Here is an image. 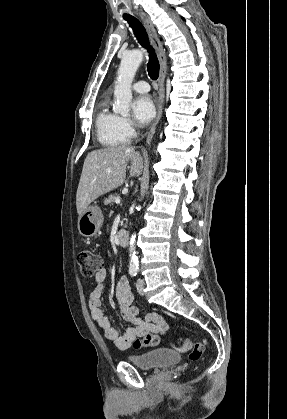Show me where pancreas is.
<instances>
[{
	"instance_id": "obj_1",
	"label": "pancreas",
	"mask_w": 287,
	"mask_h": 419,
	"mask_svg": "<svg viewBox=\"0 0 287 419\" xmlns=\"http://www.w3.org/2000/svg\"><path fill=\"white\" fill-rule=\"evenodd\" d=\"M120 198L119 195H110L107 199L104 200L105 205H112L116 199Z\"/></svg>"
}]
</instances>
